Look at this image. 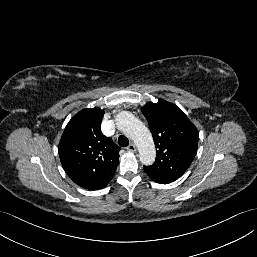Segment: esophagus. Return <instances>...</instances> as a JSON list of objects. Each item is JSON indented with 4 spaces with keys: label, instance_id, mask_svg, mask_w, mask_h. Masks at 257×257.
<instances>
[{
    "label": "esophagus",
    "instance_id": "obj_1",
    "mask_svg": "<svg viewBox=\"0 0 257 257\" xmlns=\"http://www.w3.org/2000/svg\"><path fill=\"white\" fill-rule=\"evenodd\" d=\"M127 149H128L129 151H131V152H136V150H137L135 144H133V143H131V144L127 147Z\"/></svg>",
    "mask_w": 257,
    "mask_h": 257
}]
</instances>
